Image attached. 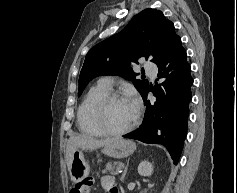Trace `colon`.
Wrapping results in <instances>:
<instances>
[{
  "instance_id": "colon-1",
  "label": "colon",
  "mask_w": 237,
  "mask_h": 193,
  "mask_svg": "<svg viewBox=\"0 0 237 193\" xmlns=\"http://www.w3.org/2000/svg\"><path fill=\"white\" fill-rule=\"evenodd\" d=\"M92 184L93 180L91 177L80 180L72 186L70 193H89Z\"/></svg>"
}]
</instances>
